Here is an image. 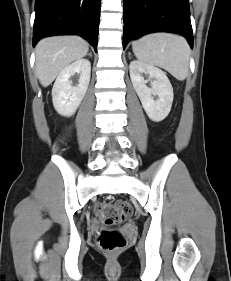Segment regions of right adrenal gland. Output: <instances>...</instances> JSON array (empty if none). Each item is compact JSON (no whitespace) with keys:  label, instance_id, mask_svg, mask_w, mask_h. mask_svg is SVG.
I'll return each instance as SVG.
<instances>
[{"label":"right adrenal gland","instance_id":"right-adrenal-gland-1","mask_svg":"<svg viewBox=\"0 0 231 281\" xmlns=\"http://www.w3.org/2000/svg\"><path fill=\"white\" fill-rule=\"evenodd\" d=\"M88 55H89L90 57H92V54H91V53H89Z\"/></svg>","mask_w":231,"mask_h":281}]
</instances>
